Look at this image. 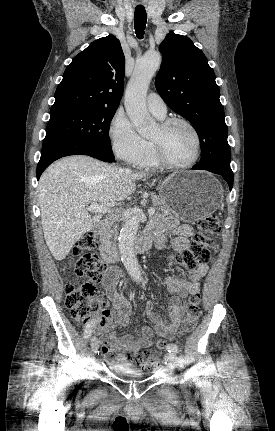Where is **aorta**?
<instances>
[{
	"instance_id": "aorta-1",
	"label": "aorta",
	"mask_w": 275,
	"mask_h": 431,
	"mask_svg": "<svg viewBox=\"0 0 275 431\" xmlns=\"http://www.w3.org/2000/svg\"><path fill=\"white\" fill-rule=\"evenodd\" d=\"M160 64V53H146L137 61L125 92L126 112L133 126L143 137L148 136L155 126V121L150 116L146 106V94L150 81ZM138 227L139 219L136 215L131 216L125 222L120 232L119 252L130 276L136 281H141V270L134 252V240Z\"/></svg>"
}]
</instances>
